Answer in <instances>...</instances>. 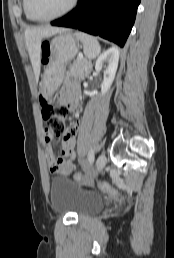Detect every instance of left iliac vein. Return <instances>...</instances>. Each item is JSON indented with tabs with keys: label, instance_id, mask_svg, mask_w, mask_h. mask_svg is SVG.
Listing matches in <instances>:
<instances>
[{
	"label": "left iliac vein",
	"instance_id": "4c4485c4",
	"mask_svg": "<svg viewBox=\"0 0 174 258\" xmlns=\"http://www.w3.org/2000/svg\"><path fill=\"white\" fill-rule=\"evenodd\" d=\"M107 162L106 156L101 154L98 156L96 160V173L99 174L105 167Z\"/></svg>",
	"mask_w": 174,
	"mask_h": 258
}]
</instances>
